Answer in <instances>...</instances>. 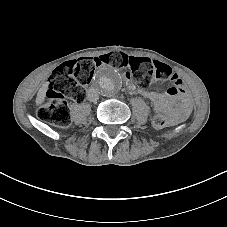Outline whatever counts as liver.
<instances>
[{
    "label": "liver",
    "mask_w": 227,
    "mask_h": 227,
    "mask_svg": "<svg viewBox=\"0 0 227 227\" xmlns=\"http://www.w3.org/2000/svg\"><path fill=\"white\" fill-rule=\"evenodd\" d=\"M47 90H48V83L46 82L42 85V87L39 89L37 93V97L35 100L37 105H41L44 102Z\"/></svg>",
    "instance_id": "1"
}]
</instances>
